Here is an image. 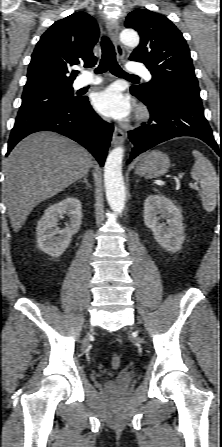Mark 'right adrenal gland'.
Returning a JSON list of instances; mask_svg holds the SVG:
<instances>
[{
  "mask_svg": "<svg viewBox=\"0 0 222 447\" xmlns=\"http://www.w3.org/2000/svg\"><path fill=\"white\" fill-rule=\"evenodd\" d=\"M87 177H88L87 174L84 175V176H83V179H82V180H79L78 182H84L88 187H90V184H89V182H88Z\"/></svg>",
  "mask_w": 222,
  "mask_h": 447,
  "instance_id": "1",
  "label": "right adrenal gland"
}]
</instances>
